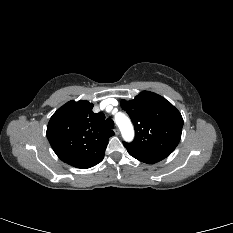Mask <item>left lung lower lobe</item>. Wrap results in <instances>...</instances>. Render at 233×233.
Wrapping results in <instances>:
<instances>
[{
    "instance_id": "0a47b994",
    "label": "left lung lower lobe",
    "mask_w": 233,
    "mask_h": 233,
    "mask_svg": "<svg viewBox=\"0 0 233 233\" xmlns=\"http://www.w3.org/2000/svg\"><path fill=\"white\" fill-rule=\"evenodd\" d=\"M126 149L132 157L147 164L157 163L168 156L167 154H162V153L136 151V150L129 149L127 147Z\"/></svg>"
}]
</instances>
